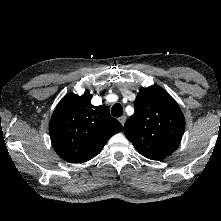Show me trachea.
I'll use <instances>...</instances> for the list:
<instances>
[{
    "label": "trachea",
    "mask_w": 221,
    "mask_h": 221,
    "mask_svg": "<svg viewBox=\"0 0 221 221\" xmlns=\"http://www.w3.org/2000/svg\"><path fill=\"white\" fill-rule=\"evenodd\" d=\"M111 114L114 117H120L123 114V107L121 104L116 103L111 108Z\"/></svg>",
    "instance_id": "trachea-1"
}]
</instances>
